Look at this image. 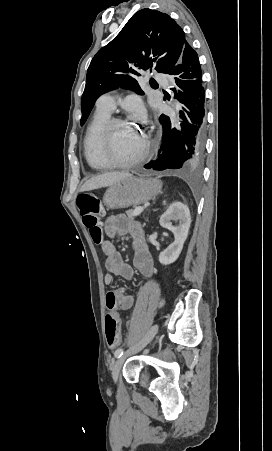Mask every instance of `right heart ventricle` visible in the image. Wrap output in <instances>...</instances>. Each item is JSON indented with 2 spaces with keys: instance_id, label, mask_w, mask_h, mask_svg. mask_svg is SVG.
Listing matches in <instances>:
<instances>
[{
  "instance_id": "right-heart-ventricle-1",
  "label": "right heart ventricle",
  "mask_w": 272,
  "mask_h": 451,
  "mask_svg": "<svg viewBox=\"0 0 272 451\" xmlns=\"http://www.w3.org/2000/svg\"><path fill=\"white\" fill-rule=\"evenodd\" d=\"M110 118V111L97 107L94 118L88 128L85 137V156L89 166L96 171L106 167L104 162L101 145L98 142L99 133L104 123Z\"/></svg>"
}]
</instances>
